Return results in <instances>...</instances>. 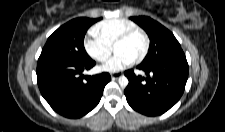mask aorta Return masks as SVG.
<instances>
[{
	"label": "aorta",
	"instance_id": "aorta-1",
	"mask_svg": "<svg viewBox=\"0 0 225 132\" xmlns=\"http://www.w3.org/2000/svg\"><path fill=\"white\" fill-rule=\"evenodd\" d=\"M118 83L121 87H126L129 83L127 77L125 76H120L119 79H118Z\"/></svg>",
	"mask_w": 225,
	"mask_h": 132
}]
</instances>
